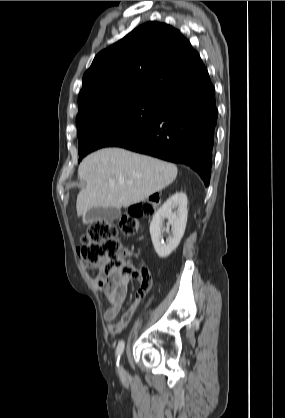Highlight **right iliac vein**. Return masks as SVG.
<instances>
[{
    "instance_id": "1",
    "label": "right iliac vein",
    "mask_w": 285,
    "mask_h": 418,
    "mask_svg": "<svg viewBox=\"0 0 285 418\" xmlns=\"http://www.w3.org/2000/svg\"><path fill=\"white\" fill-rule=\"evenodd\" d=\"M119 371H120L121 374H124V369H123L122 366L119 367Z\"/></svg>"
}]
</instances>
